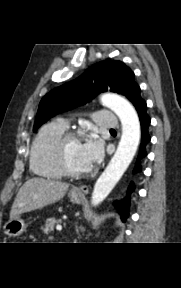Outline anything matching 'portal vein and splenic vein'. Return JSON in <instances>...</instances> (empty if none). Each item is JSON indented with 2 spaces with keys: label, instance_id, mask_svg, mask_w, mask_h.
I'll use <instances>...</instances> for the list:
<instances>
[{
  "label": "portal vein and splenic vein",
  "instance_id": "18ae733b",
  "mask_svg": "<svg viewBox=\"0 0 181 288\" xmlns=\"http://www.w3.org/2000/svg\"><path fill=\"white\" fill-rule=\"evenodd\" d=\"M56 229H57L58 231H61V230H62V227H61V226H57Z\"/></svg>",
  "mask_w": 181,
  "mask_h": 288
}]
</instances>
